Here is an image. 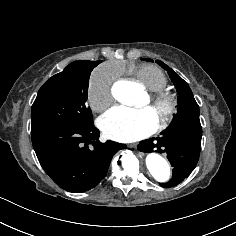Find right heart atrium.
I'll use <instances>...</instances> for the list:
<instances>
[{
  "mask_svg": "<svg viewBox=\"0 0 236 236\" xmlns=\"http://www.w3.org/2000/svg\"><path fill=\"white\" fill-rule=\"evenodd\" d=\"M117 74L107 65L96 68L90 75L88 99L95 111H104L113 103V84Z\"/></svg>",
  "mask_w": 236,
  "mask_h": 236,
  "instance_id": "d8ad5b80",
  "label": "right heart atrium"
}]
</instances>
